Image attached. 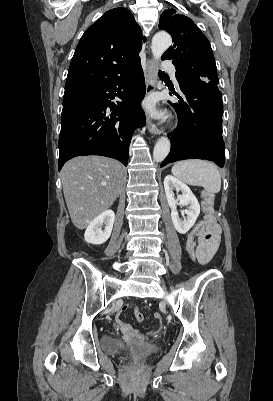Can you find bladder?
Segmentation results:
<instances>
[{"mask_svg": "<svg viewBox=\"0 0 273 401\" xmlns=\"http://www.w3.org/2000/svg\"><path fill=\"white\" fill-rule=\"evenodd\" d=\"M102 348L108 354L122 356L135 361H142L159 353V348L157 347L131 350L125 343L112 336H105L102 339Z\"/></svg>", "mask_w": 273, "mask_h": 401, "instance_id": "31cf9c89", "label": "bladder"}]
</instances>
